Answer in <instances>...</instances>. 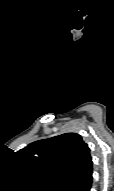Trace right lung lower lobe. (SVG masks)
<instances>
[{
  "label": "right lung lower lobe",
  "instance_id": "1",
  "mask_svg": "<svg viewBox=\"0 0 114 191\" xmlns=\"http://www.w3.org/2000/svg\"><path fill=\"white\" fill-rule=\"evenodd\" d=\"M92 186V173L84 177L73 178L60 185L57 191H90Z\"/></svg>",
  "mask_w": 114,
  "mask_h": 191
}]
</instances>
